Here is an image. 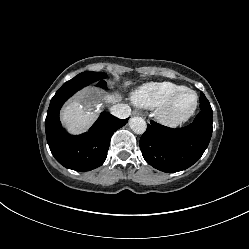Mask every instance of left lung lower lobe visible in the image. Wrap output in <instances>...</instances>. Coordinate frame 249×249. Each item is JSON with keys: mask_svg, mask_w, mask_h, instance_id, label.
Masks as SVG:
<instances>
[{"mask_svg": "<svg viewBox=\"0 0 249 249\" xmlns=\"http://www.w3.org/2000/svg\"><path fill=\"white\" fill-rule=\"evenodd\" d=\"M209 106V101L201 93V112L193 123L182 128L173 129L150 121L139 143L145 161L167 173L192 166L203 155L211 139L213 113Z\"/></svg>", "mask_w": 249, "mask_h": 249, "instance_id": "0a47b994", "label": "left lung lower lobe"}]
</instances>
